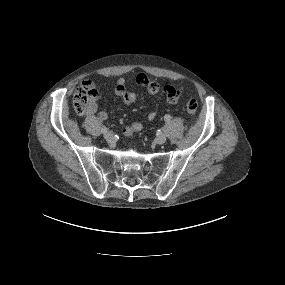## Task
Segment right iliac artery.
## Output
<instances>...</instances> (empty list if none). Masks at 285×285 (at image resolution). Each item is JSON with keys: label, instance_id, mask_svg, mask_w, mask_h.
<instances>
[{"label": "right iliac artery", "instance_id": "1", "mask_svg": "<svg viewBox=\"0 0 285 285\" xmlns=\"http://www.w3.org/2000/svg\"><path fill=\"white\" fill-rule=\"evenodd\" d=\"M101 132H102V133H106V132H107V128H106V127H102V128H101Z\"/></svg>", "mask_w": 285, "mask_h": 285}]
</instances>
